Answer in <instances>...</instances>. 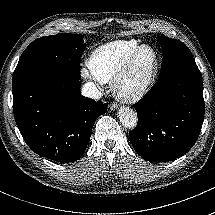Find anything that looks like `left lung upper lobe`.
<instances>
[{
    "label": "left lung upper lobe",
    "instance_id": "left-lung-upper-lobe-1",
    "mask_svg": "<svg viewBox=\"0 0 215 215\" xmlns=\"http://www.w3.org/2000/svg\"><path fill=\"white\" fill-rule=\"evenodd\" d=\"M163 51L160 77H163L186 65L196 64L188 47L179 40L158 37Z\"/></svg>",
    "mask_w": 215,
    "mask_h": 215
}]
</instances>
